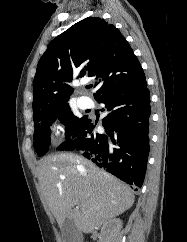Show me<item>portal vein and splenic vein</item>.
Here are the masks:
<instances>
[{"label": "portal vein and splenic vein", "instance_id": "18ae733b", "mask_svg": "<svg viewBox=\"0 0 187 242\" xmlns=\"http://www.w3.org/2000/svg\"><path fill=\"white\" fill-rule=\"evenodd\" d=\"M75 205H76V207H77V208L79 207V205H78V203H77V202L75 203Z\"/></svg>", "mask_w": 187, "mask_h": 242}]
</instances>
